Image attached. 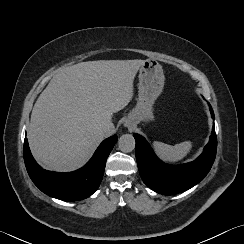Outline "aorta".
<instances>
[{"mask_svg":"<svg viewBox=\"0 0 244 244\" xmlns=\"http://www.w3.org/2000/svg\"><path fill=\"white\" fill-rule=\"evenodd\" d=\"M118 147L124 153H130L135 149V139L131 134H123L118 140Z\"/></svg>","mask_w":244,"mask_h":244,"instance_id":"762f6f07","label":"aorta"}]
</instances>
